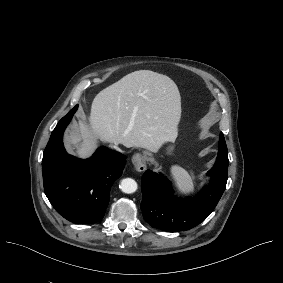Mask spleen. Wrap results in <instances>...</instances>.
<instances>
[{"mask_svg": "<svg viewBox=\"0 0 283 283\" xmlns=\"http://www.w3.org/2000/svg\"><path fill=\"white\" fill-rule=\"evenodd\" d=\"M171 175L175 181L176 187L181 193L187 194L194 191V175L192 171L189 174V172L181 166L173 165L171 167Z\"/></svg>", "mask_w": 283, "mask_h": 283, "instance_id": "obj_1", "label": "spleen"}]
</instances>
